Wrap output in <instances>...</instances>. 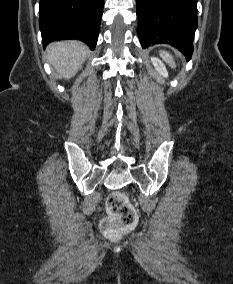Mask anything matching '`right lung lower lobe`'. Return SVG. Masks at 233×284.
<instances>
[{
  "instance_id": "right-lung-lower-lobe-1",
  "label": "right lung lower lobe",
  "mask_w": 233,
  "mask_h": 284,
  "mask_svg": "<svg viewBox=\"0 0 233 284\" xmlns=\"http://www.w3.org/2000/svg\"><path fill=\"white\" fill-rule=\"evenodd\" d=\"M104 0H40L39 25L43 46L49 42L77 39L94 50Z\"/></svg>"
}]
</instances>
